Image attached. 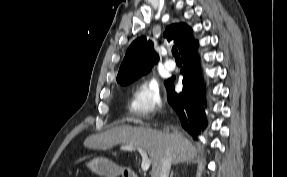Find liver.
Returning <instances> with one entry per match:
<instances>
[{"instance_id": "1", "label": "liver", "mask_w": 287, "mask_h": 177, "mask_svg": "<svg viewBox=\"0 0 287 177\" xmlns=\"http://www.w3.org/2000/svg\"><path fill=\"white\" fill-rule=\"evenodd\" d=\"M117 144L147 151L152 162L151 177L167 150L170 152L173 164L191 160L196 155L195 148L178 130L170 133L150 127L121 125L101 134L89 136L84 141L85 147L98 150H110Z\"/></svg>"}]
</instances>
